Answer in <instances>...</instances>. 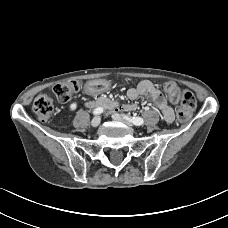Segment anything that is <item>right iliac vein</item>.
I'll list each match as a JSON object with an SVG mask.
<instances>
[{
	"instance_id": "right-iliac-vein-1",
	"label": "right iliac vein",
	"mask_w": 228,
	"mask_h": 228,
	"mask_svg": "<svg viewBox=\"0 0 228 228\" xmlns=\"http://www.w3.org/2000/svg\"><path fill=\"white\" fill-rule=\"evenodd\" d=\"M101 118L99 116H96L91 121L92 127H97L100 124Z\"/></svg>"
}]
</instances>
